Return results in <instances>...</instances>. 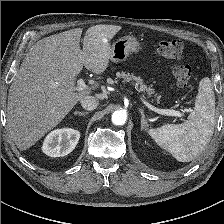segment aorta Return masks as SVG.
Here are the masks:
<instances>
[{"mask_svg": "<svg viewBox=\"0 0 224 224\" xmlns=\"http://www.w3.org/2000/svg\"><path fill=\"white\" fill-rule=\"evenodd\" d=\"M111 119L114 125H124L127 120V113L124 110L114 111Z\"/></svg>", "mask_w": 224, "mask_h": 224, "instance_id": "762f6f07", "label": "aorta"}]
</instances>
